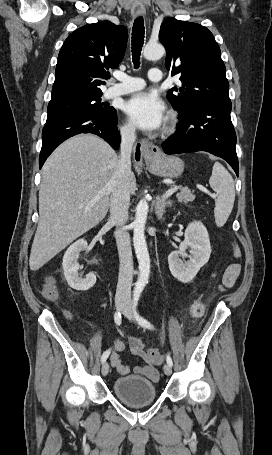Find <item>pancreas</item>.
Listing matches in <instances>:
<instances>
[{"label":"pancreas","mask_w":272,"mask_h":455,"mask_svg":"<svg viewBox=\"0 0 272 455\" xmlns=\"http://www.w3.org/2000/svg\"><path fill=\"white\" fill-rule=\"evenodd\" d=\"M195 197L194 191H191L189 188H182L181 192L176 194L178 202L185 204L194 201Z\"/></svg>","instance_id":"obj_1"}]
</instances>
